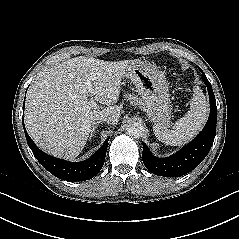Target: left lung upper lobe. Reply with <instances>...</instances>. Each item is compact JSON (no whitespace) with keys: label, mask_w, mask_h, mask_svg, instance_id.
Masks as SVG:
<instances>
[{"label":"left lung upper lobe","mask_w":239,"mask_h":239,"mask_svg":"<svg viewBox=\"0 0 239 239\" xmlns=\"http://www.w3.org/2000/svg\"><path fill=\"white\" fill-rule=\"evenodd\" d=\"M200 69V68H199ZM201 70V69H200ZM201 72H202V79L203 80H207V78H206V75L204 74V72L201 70Z\"/></svg>","instance_id":"5c2ea615"}]
</instances>
